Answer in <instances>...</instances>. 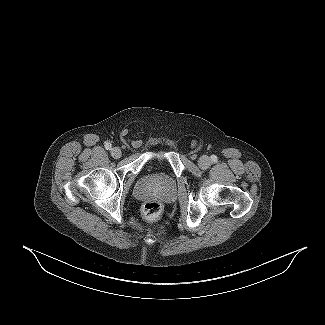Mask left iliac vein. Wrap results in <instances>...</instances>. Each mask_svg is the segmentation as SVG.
Instances as JSON below:
<instances>
[{"mask_svg": "<svg viewBox=\"0 0 325 325\" xmlns=\"http://www.w3.org/2000/svg\"><path fill=\"white\" fill-rule=\"evenodd\" d=\"M198 165L202 169H207L211 165V160L208 156H202L198 161Z\"/></svg>", "mask_w": 325, "mask_h": 325, "instance_id": "obj_1", "label": "left iliac vein"}]
</instances>
